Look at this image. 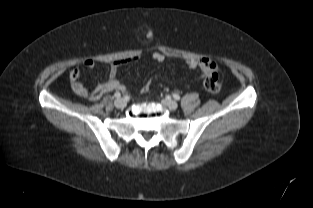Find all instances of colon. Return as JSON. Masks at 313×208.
<instances>
[{"label":"colon","instance_id":"5ec220e1","mask_svg":"<svg viewBox=\"0 0 313 208\" xmlns=\"http://www.w3.org/2000/svg\"><path fill=\"white\" fill-rule=\"evenodd\" d=\"M204 87L207 91L211 93H218L222 89V84L219 80V74L217 70L211 71L204 78ZM149 90V83H146L143 87V91L146 92Z\"/></svg>","mask_w":313,"mask_h":208}]
</instances>
